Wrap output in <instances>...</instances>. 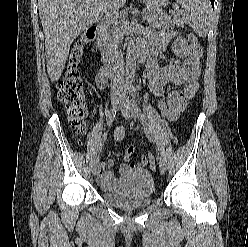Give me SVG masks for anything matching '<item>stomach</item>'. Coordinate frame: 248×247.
Instances as JSON below:
<instances>
[{"label": "stomach", "mask_w": 248, "mask_h": 247, "mask_svg": "<svg viewBox=\"0 0 248 247\" xmlns=\"http://www.w3.org/2000/svg\"><path fill=\"white\" fill-rule=\"evenodd\" d=\"M148 8H161L165 6L169 0H141Z\"/></svg>", "instance_id": "0dacf381"}]
</instances>
